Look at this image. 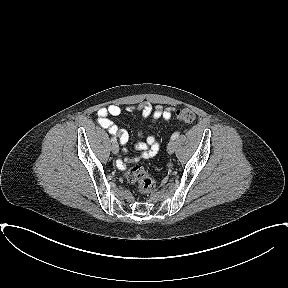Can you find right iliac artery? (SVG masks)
<instances>
[{
    "instance_id": "right-iliac-artery-1",
    "label": "right iliac artery",
    "mask_w": 288,
    "mask_h": 288,
    "mask_svg": "<svg viewBox=\"0 0 288 288\" xmlns=\"http://www.w3.org/2000/svg\"><path fill=\"white\" fill-rule=\"evenodd\" d=\"M111 142L112 143H116L117 142V139L115 137L111 138Z\"/></svg>"
}]
</instances>
